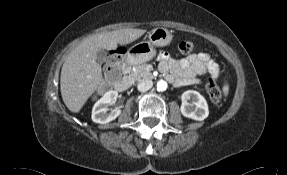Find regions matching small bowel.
<instances>
[{"mask_svg":"<svg viewBox=\"0 0 287 175\" xmlns=\"http://www.w3.org/2000/svg\"><path fill=\"white\" fill-rule=\"evenodd\" d=\"M159 70L167 72L166 79L174 81L177 86L198 84V75L210 72L214 76L218 75V64L212 59L210 54L200 52L183 59H175L168 52L161 51L158 54Z\"/></svg>","mask_w":287,"mask_h":175,"instance_id":"obj_1","label":"small bowel"}]
</instances>
